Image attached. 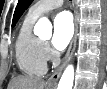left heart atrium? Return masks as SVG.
<instances>
[{
  "mask_svg": "<svg viewBox=\"0 0 107 89\" xmlns=\"http://www.w3.org/2000/svg\"><path fill=\"white\" fill-rule=\"evenodd\" d=\"M74 32L72 17L68 12L59 13L53 23L52 45L64 49L70 42Z\"/></svg>",
  "mask_w": 107,
  "mask_h": 89,
  "instance_id": "left-heart-atrium-1",
  "label": "left heart atrium"
}]
</instances>
